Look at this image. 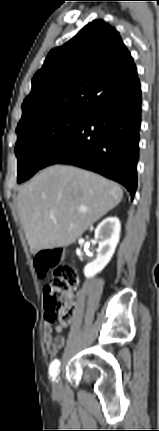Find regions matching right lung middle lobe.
I'll use <instances>...</instances> for the list:
<instances>
[{"label": "right lung middle lobe", "instance_id": "obj_1", "mask_svg": "<svg viewBox=\"0 0 159 431\" xmlns=\"http://www.w3.org/2000/svg\"><path fill=\"white\" fill-rule=\"evenodd\" d=\"M87 115L85 112H60L17 130L15 153L18 158V183L29 179L41 169L52 149L84 121Z\"/></svg>", "mask_w": 159, "mask_h": 431}]
</instances>
